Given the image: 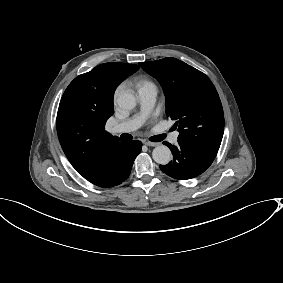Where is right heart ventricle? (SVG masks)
<instances>
[{
    "label": "right heart ventricle",
    "instance_id": "obj_1",
    "mask_svg": "<svg viewBox=\"0 0 283 283\" xmlns=\"http://www.w3.org/2000/svg\"><path fill=\"white\" fill-rule=\"evenodd\" d=\"M131 81L136 85L138 89L153 85L152 82L141 75L134 76Z\"/></svg>",
    "mask_w": 283,
    "mask_h": 283
}]
</instances>
